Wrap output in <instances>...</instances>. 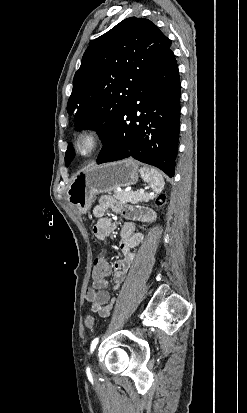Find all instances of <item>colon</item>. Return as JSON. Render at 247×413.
I'll return each mask as SVG.
<instances>
[{"label": "colon", "instance_id": "1", "mask_svg": "<svg viewBox=\"0 0 247 413\" xmlns=\"http://www.w3.org/2000/svg\"><path fill=\"white\" fill-rule=\"evenodd\" d=\"M167 199L164 196L158 198L157 203L161 206L167 204ZM99 259L92 260V275L107 277L109 275V262L105 260L107 254L102 252ZM84 325L87 330L95 329V318L91 315H86L84 318Z\"/></svg>", "mask_w": 247, "mask_h": 413}]
</instances>
